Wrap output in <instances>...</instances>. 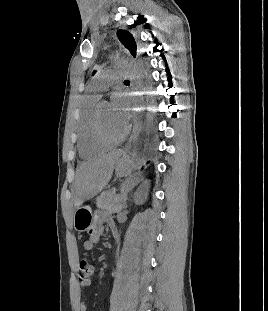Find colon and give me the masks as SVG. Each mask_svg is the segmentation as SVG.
Masks as SVG:
<instances>
[{"instance_id": "5ec220e1", "label": "colon", "mask_w": 268, "mask_h": 311, "mask_svg": "<svg viewBox=\"0 0 268 311\" xmlns=\"http://www.w3.org/2000/svg\"><path fill=\"white\" fill-rule=\"evenodd\" d=\"M93 273L92 265L85 259L80 262V274L81 278H90Z\"/></svg>"}]
</instances>
